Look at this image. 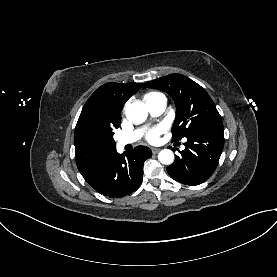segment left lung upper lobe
Returning a JSON list of instances; mask_svg holds the SVG:
<instances>
[{"instance_id": "1", "label": "left lung upper lobe", "mask_w": 277, "mask_h": 277, "mask_svg": "<svg viewBox=\"0 0 277 277\" xmlns=\"http://www.w3.org/2000/svg\"><path fill=\"white\" fill-rule=\"evenodd\" d=\"M167 92L176 104L172 140L190 137L199 131L220 126L222 119L206 90L181 74H170L144 84V88Z\"/></svg>"}]
</instances>
